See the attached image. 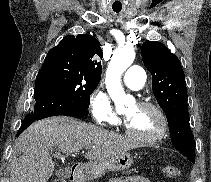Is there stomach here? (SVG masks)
<instances>
[{
	"label": "stomach",
	"mask_w": 211,
	"mask_h": 182,
	"mask_svg": "<svg viewBox=\"0 0 211 182\" xmlns=\"http://www.w3.org/2000/svg\"><path fill=\"white\" fill-rule=\"evenodd\" d=\"M132 164L133 156L128 152H123L103 161H95L85 170L76 174L77 182H87L100 178L109 171H124L129 169Z\"/></svg>",
	"instance_id": "0dacf381"
}]
</instances>
